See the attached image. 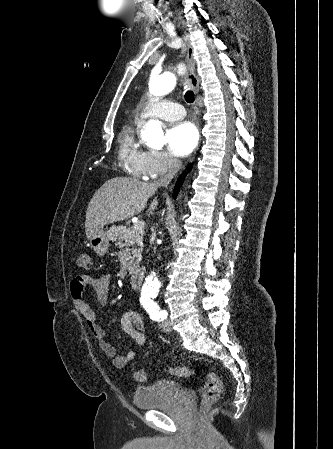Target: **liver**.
I'll use <instances>...</instances> for the list:
<instances>
[{
  "mask_svg": "<svg viewBox=\"0 0 333 449\" xmlns=\"http://www.w3.org/2000/svg\"><path fill=\"white\" fill-rule=\"evenodd\" d=\"M157 183L148 184L127 177L106 181L88 204L85 232L88 239L95 236L105 225L129 219L142 212L148 199L156 192ZM158 200L151 202L148 215L157 208Z\"/></svg>",
  "mask_w": 333,
  "mask_h": 449,
  "instance_id": "liver-1",
  "label": "liver"
}]
</instances>
